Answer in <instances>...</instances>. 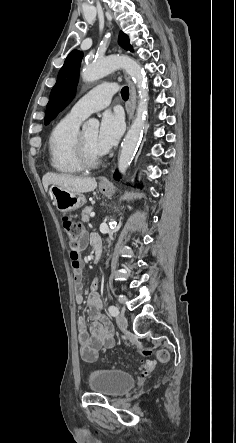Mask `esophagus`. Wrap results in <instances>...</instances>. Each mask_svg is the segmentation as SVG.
Instances as JSON below:
<instances>
[{"instance_id": "obj_1", "label": "esophagus", "mask_w": 236, "mask_h": 443, "mask_svg": "<svg viewBox=\"0 0 236 443\" xmlns=\"http://www.w3.org/2000/svg\"><path fill=\"white\" fill-rule=\"evenodd\" d=\"M124 76L128 82L129 85V90H130V102H131V108L129 111V121H131V119L134 116L135 113V109H136V89L135 86L133 84V82L131 81V79L127 76L126 73H124ZM109 180L106 177H102L100 179V184H108Z\"/></svg>"}]
</instances>
